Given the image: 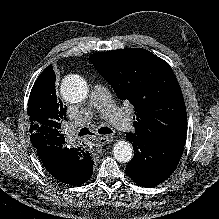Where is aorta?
I'll return each instance as SVG.
<instances>
[{
    "label": "aorta",
    "instance_id": "obj_1",
    "mask_svg": "<svg viewBox=\"0 0 219 219\" xmlns=\"http://www.w3.org/2000/svg\"><path fill=\"white\" fill-rule=\"evenodd\" d=\"M62 97L70 103H79L87 98L86 81L79 76L67 77L61 84ZM114 158L120 163H128L133 157V148L128 141L118 140L113 146Z\"/></svg>",
    "mask_w": 219,
    "mask_h": 219
}]
</instances>
